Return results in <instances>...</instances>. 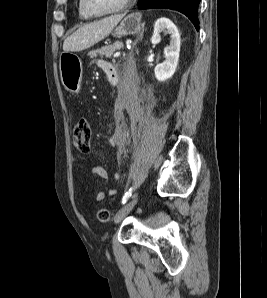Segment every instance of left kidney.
<instances>
[{
	"instance_id": "1",
	"label": "left kidney",
	"mask_w": 267,
	"mask_h": 298,
	"mask_svg": "<svg viewBox=\"0 0 267 298\" xmlns=\"http://www.w3.org/2000/svg\"><path fill=\"white\" fill-rule=\"evenodd\" d=\"M170 34V45L164 49L165 60L156 65L154 72L158 81L164 82L170 79L177 68L179 61L181 39L175 24L168 18H160L155 22L154 32L151 38L152 44L156 45L161 41V33Z\"/></svg>"
}]
</instances>
